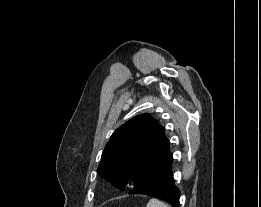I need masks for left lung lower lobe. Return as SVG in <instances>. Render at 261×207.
<instances>
[{
  "label": "left lung lower lobe",
  "instance_id": "left-lung-lower-lobe-1",
  "mask_svg": "<svg viewBox=\"0 0 261 207\" xmlns=\"http://www.w3.org/2000/svg\"><path fill=\"white\" fill-rule=\"evenodd\" d=\"M130 194L149 195L164 200L172 207H180V191L174 183L171 165L155 176L136 185L130 191Z\"/></svg>",
  "mask_w": 261,
  "mask_h": 207
}]
</instances>
